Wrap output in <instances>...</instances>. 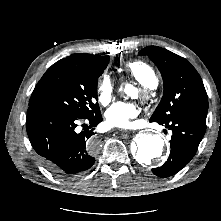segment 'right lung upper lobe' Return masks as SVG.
Instances as JSON below:
<instances>
[{
    "instance_id": "right-lung-upper-lobe-1",
    "label": "right lung upper lobe",
    "mask_w": 221,
    "mask_h": 221,
    "mask_svg": "<svg viewBox=\"0 0 221 221\" xmlns=\"http://www.w3.org/2000/svg\"><path fill=\"white\" fill-rule=\"evenodd\" d=\"M107 56H96V55H92V54H72L69 57H66L65 59H69L72 61H76V62H81V63H87V64H91V63H96V62H100L102 60H104Z\"/></svg>"
}]
</instances>
